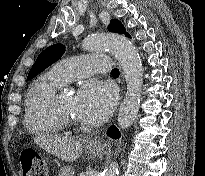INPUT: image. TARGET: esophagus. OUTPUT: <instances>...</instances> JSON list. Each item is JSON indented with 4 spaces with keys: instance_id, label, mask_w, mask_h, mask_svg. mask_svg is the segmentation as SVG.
<instances>
[{
    "instance_id": "34e87169",
    "label": "esophagus",
    "mask_w": 205,
    "mask_h": 176,
    "mask_svg": "<svg viewBox=\"0 0 205 176\" xmlns=\"http://www.w3.org/2000/svg\"><path fill=\"white\" fill-rule=\"evenodd\" d=\"M122 91H123V83H122ZM89 146H94V147H100L101 146V141L100 139H94L89 141Z\"/></svg>"
}]
</instances>
